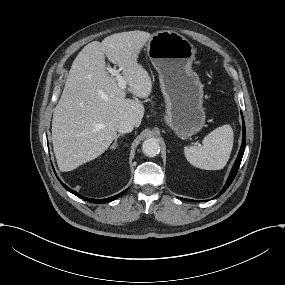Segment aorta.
<instances>
[{
  "label": "aorta",
  "instance_id": "762f6f07",
  "mask_svg": "<svg viewBox=\"0 0 285 285\" xmlns=\"http://www.w3.org/2000/svg\"><path fill=\"white\" fill-rule=\"evenodd\" d=\"M142 151L148 157H155L160 152V146L155 138L146 139L142 144Z\"/></svg>",
  "mask_w": 285,
  "mask_h": 285
}]
</instances>
